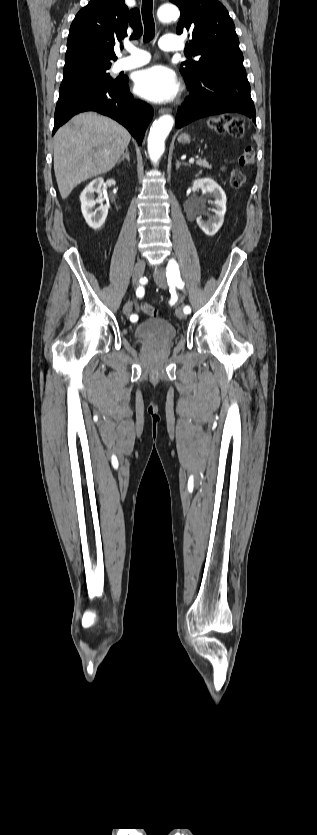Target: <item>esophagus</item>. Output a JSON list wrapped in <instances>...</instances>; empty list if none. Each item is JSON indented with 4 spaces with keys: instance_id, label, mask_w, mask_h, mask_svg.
Masks as SVG:
<instances>
[{
    "instance_id": "34e87169",
    "label": "esophagus",
    "mask_w": 317,
    "mask_h": 835,
    "mask_svg": "<svg viewBox=\"0 0 317 835\" xmlns=\"http://www.w3.org/2000/svg\"><path fill=\"white\" fill-rule=\"evenodd\" d=\"M170 112H171L170 108H160L159 109L160 114H165V113H170Z\"/></svg>"
}]
</instances>
